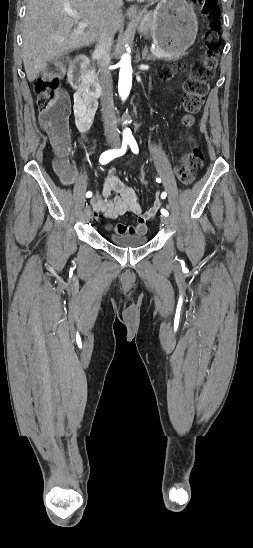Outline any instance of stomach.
<instances>
[{
  "instance_id": "stomach-1",
  "label": "stomach",
  "mask_w": 253,
  "mask_h": 548,
  "mask_svg": "<svg viewBox=\"0 0 253 548\" xmlns=\"http://www.w3.org/2000/svg\"><path fill=\"white\" fill-rule=\"evenodd\" d=\"M138 31L162 50L182 55L196 39L198 22L186 0H161L153 11L142 14Z\"/></svg>"
}]
</instances>
